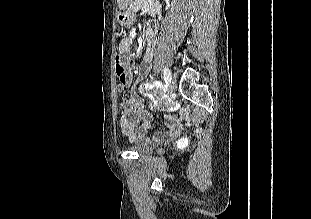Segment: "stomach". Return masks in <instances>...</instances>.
Returning a JSON list of instances; mask_svg holds the SVG:
<instances>
[{
  "label": "stomach",
  "mask_w": 311,
  "mask_h": 219,
  "mask_svg": "<svg viewBox=\"0 0 311 219\" xmlns=\"http://www.w3.org/2000/svg\"><path fill=\"white\" fill-rule=\"evenodd\" d=\"M122 13L118 14L117 18L121 25L130 26L133 23L134 15L122 9Z\"/></svg>",
  "instance_id": "0dacf381"
}]
</instances>
